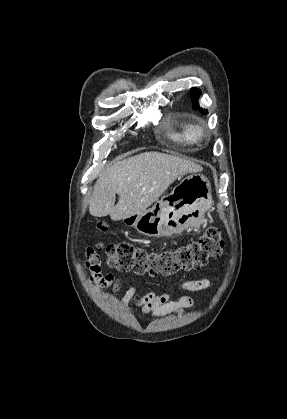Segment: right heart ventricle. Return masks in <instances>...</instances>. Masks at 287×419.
I'll list each match as a JSON object with an SVG mask.
<instances>
[{
  "label": "right heart ventricle",
  "mask_w": 287,
  "mask_h": 419,
  "mask_svg": "<svg viewBox=\"0 0 287 419\" xmlns=\"http://www.w3.org/2000/svg\"><path fill=\"white\" fill-rule=\"evenodd\" d=\"M168 138L178 144H193L196 142L191 135V124L174 115H168L163 120Z\"/></svg>",
  "instance_id": "right-heart-ventricle-1"
}]
</instances>
